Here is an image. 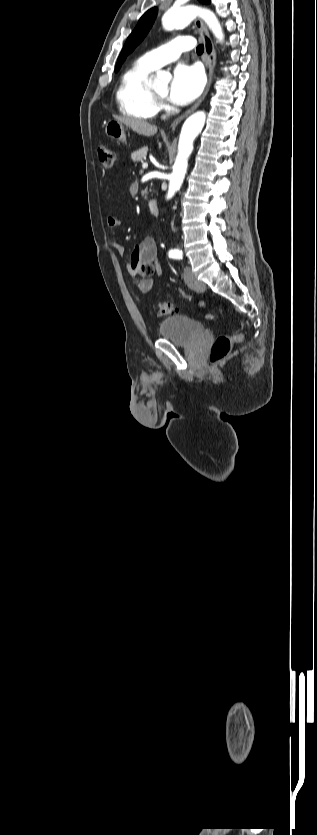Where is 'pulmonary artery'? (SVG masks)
<instances>
[{
	"label": "pulmonary artery",
	"mask_w": 317,
	"mask_h": 835,
	"mask_svg": "<svg viewBox=\"0 0 317 835\" xmlns=\"http://www.w3.org/2000/svg\"><path fill=\"white\" fill-rule=\"evenodd\" d=\"M194 45L195 42L192 37L179 36L153 50L148 51L141 59L149 66L156 69L164 64L176 60L182 52L191 50Z\"/></svg>",
	"instance_id": "pulmonary-artery-1"
}]
</instances>
